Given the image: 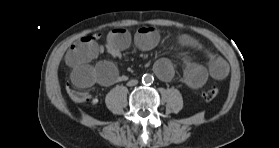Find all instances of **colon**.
I'll list each match as a JSON object with an SVG mask.
<instances>
[{
	"label": "colon",
	"mask_w": 279,
	"mask_h": 148,
	"mask_svg": "<svg viewBox=\"0 0 279 148\" xmlns=\"http://www.w3.org/2000/svg\"><path fill=\"white\" fill-rule=\"evenodd\" d=\"M72 98L74 101L78 102V103H89V102H94L95 99L88 93L85 92H78L75 91L73 89H71L70 87L68 88ZM219 94V90L217 87L212 86L209 88H206L203 93L202 96L205 100H213L215 99Z\"/></svg>",
	"instance_id": "colon-1"
}]
</instances>
